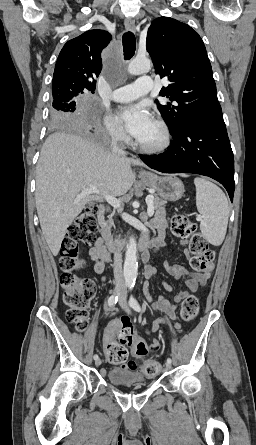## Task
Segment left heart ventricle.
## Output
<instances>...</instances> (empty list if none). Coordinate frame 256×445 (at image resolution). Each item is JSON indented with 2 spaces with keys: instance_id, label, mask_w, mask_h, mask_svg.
Listing matches in <instances>:
<instances>
[{
  "instance_id": "b2bd125f",
  "label": "left heart ventricle",
  "mask_w": 256,
  "mask_h": 445,
  "mask_svg": "<svg viewBox=\"0 0 256 445\" xmlns=\"http://www.w3.org/2000/svg\"><path fill=\"white\" fill-rule=\"evenodd\" d=\"M161 138V130L159 129L157 124L153 122L149 130L137 140L145 145H154L159 143Z\"/></svg>"
}]
</instances>
